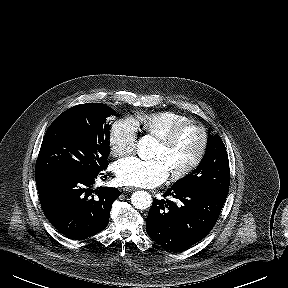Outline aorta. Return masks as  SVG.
Segmentation results:
<instances>
[{"label":"aorta","instance_id":"1","mask_svg":"<svg viewBox=\"0 0 288 288\" xmlns=\"http://www.w3.org/2000/svg\"><path fill=\"white\" fill-rule=\"evenodd\" d=\"M156 142L151 136H143L137 144V152L141 159L147 160L154 157ZM131 203L136 209L144 210L151 206L152 197L146 191H135L131 196Z\"/></svg>","mask_w":288,"mask_h":288}]
</instances>
